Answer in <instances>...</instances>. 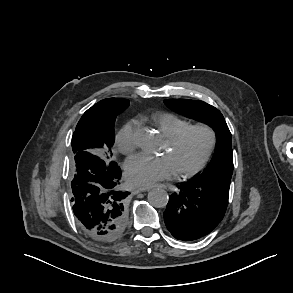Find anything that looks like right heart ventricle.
<instances>
[{
  "mask_svg": "<svg viewBox=\"0 0 293 293\" xmlns=\"http://www.w3.org/2000/svg\"><path fill=\"white\" fill-rule=\"evenodd\" d=\"M151 120L166 138L191 124L187 119L173 113H156L152 115Z\"/></svg>",
  "mask_w": 293,
  "mask_h": 293,
  "instance_id": "obj_1",
  "label": "right heart ventricle"
}]
</instances>
